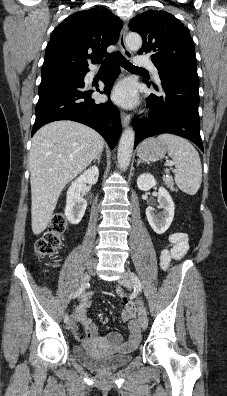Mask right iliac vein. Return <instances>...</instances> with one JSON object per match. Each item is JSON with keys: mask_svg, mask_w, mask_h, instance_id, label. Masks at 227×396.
Returning a JSON list of instances; mask_svg holds the SVG:
<instances>
[{"mask_svg": "<svg viewBox=\"0 0 227 396\" xmlns=\"http://www.w3.org/2000/svg\"><path fill=\"white\" fill-rule=\"evenodd\" d=\"M94 274H95V265L92 264V265L89 267L88 272L85 273V274L82 276V278H81V285L83 286V285L88 284V282L90 281L91 276L94 275ZM74 320H75V316L72 315L71 319L67 322V326H66L67 329H71V328L74 326Z\"/></svg>", "mask_w": 227, "mask_h": 396, "instance_id": "obj_1", "label": "right iliac vein"}]
</instances>
